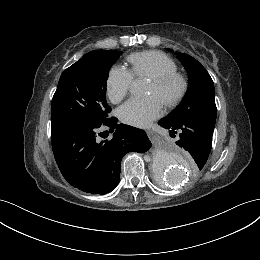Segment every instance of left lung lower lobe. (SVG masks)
Wrapping results in <instances>:
<instances>
[{
  "label": "left lung lower lobe",
  "instance_id": "left-lung-lower-lobe-1",
  "mask_svg": "<svg viewBox=\"0 0 260 260\" xmlns=\"http://www.w3.org/2000/svg\"><path fill=\"white\" fill-rule=\"evenodd\" d=\"M159 125L169 129L170 134H179L176 144L188 151L201 170L205 165L212 147L214 125L196 118H186L178 122L167 116L159 120Z\"/></svg>",
  "mask_w": 260,
  "mask_h": 260
}]
</instances>
